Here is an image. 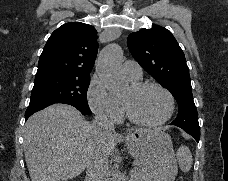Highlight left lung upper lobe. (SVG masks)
<instances>
[{"mask_svg": "<svg viewBox=\"0 0 228 181\" xmlns=\"http://www.w3.org/2000/svg\"><path fill=\"white\" fill-rule=\"evenodd\" d=\"M127 44L134 59L176 99L179 111L171 125L183 130L200 128L189 68L172 33L164 27L153 26L131 33Z\"/></svg>", "mask_w": 228, "mask_h": 181, "instance_id": "1", "label": "left lung upper lobe"}]
</instances>
